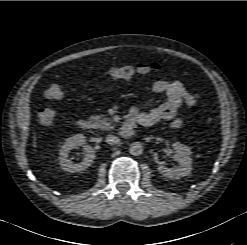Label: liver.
Wrapping results in <instances>:
<instances>
[{
  "instance_id": "6515ba94",
  "label": "liver",
  "mask_w": 247,
  "mask_h": 245,
  "mask_svg": "<svg viewBox=\"0 0 247 245\" xmlns=\"http://www.w3.org/2000/svg\"><path fill=\"white\" fill-rule=\"evenodd\" d=\"M34 141H36V138L34 137ZM34 147H36V144L34 143V145H33Z\"/></svg>"
}]
</instances>
